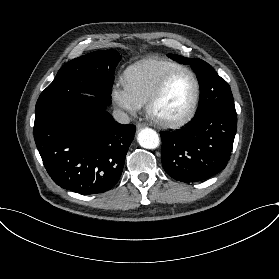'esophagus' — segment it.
I'll return each instance as SVG.
<instances>
[{"label":"esophagus","instance_id":"1","mask_svg":"<svg viewBox=\"0 0 279 279\" xmlns=\"http://www.w3.org/2000/svg\"><path fill=\"white\" fill-rule=\"evenodd\" d=\"M136 127H137V131H140L142 128L145 127V124L144 123H137Z\"/></svg>","mask_w":279,"mask_h":279}]
</instances>
